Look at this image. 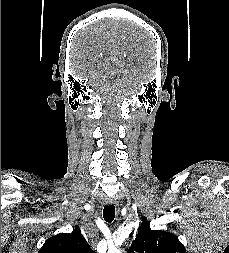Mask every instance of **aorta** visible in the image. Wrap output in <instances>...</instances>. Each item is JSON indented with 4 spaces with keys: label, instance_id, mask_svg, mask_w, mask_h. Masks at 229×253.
I'll list each match as a JSON object with an SVG mask.
<instances>
[{
    "label": "aorta",
    "instance_id": "1",
    "mask_svg": "<svg viewBox=\"0 0 229 253\" xmlns=\"http://www.w3.org/2000/svg\"><path fill=\"white\" fill-rule=\"evenodd\" d=\"M108 253H121V251L117 248H111L109 249Z\"/></svg>",
    "mask_w": 229,
    "mask_h": 253
}]
</instances>
